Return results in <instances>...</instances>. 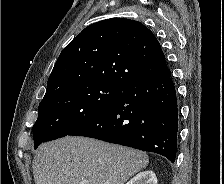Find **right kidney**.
Here are the masks:
<instances>
[{
  "label": "right kidney",
  "instance_id": "right-kidney-1",
  "mask_svg": "<svg viewBox=\"0 0 224 184\" xmlns=\"http://www.w3.org/2000/svg\"><path fill=\"white\" fill-rule=\"evenodd\" d=\"M126 184H157V177L153 171L147 170L137 174Z\"/></svg>",
  "mask_w": 224,
  "mask_h": 184
}]
</instances>
